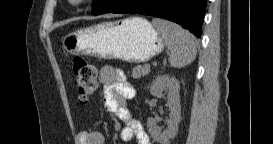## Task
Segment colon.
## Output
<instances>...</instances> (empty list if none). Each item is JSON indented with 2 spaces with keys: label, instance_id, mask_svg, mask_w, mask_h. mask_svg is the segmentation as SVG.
<instances>
[{
  "label": "colon",
  "instance_id": "1",
  "mask_svg": "<svg viewBox=\"0 0 273 144\" xmlns=\"http://www.w3.org/2000/svg\"><path fill=\"white\" fill-rule=\"evenodd\" d=\"M73 71L77 84L78 98L82 103L87 102L96 90L97 70L83 58H75Z\"/></svg>",
  "mask_w": 273,
  "mask_h": 144
}]
</instances>
